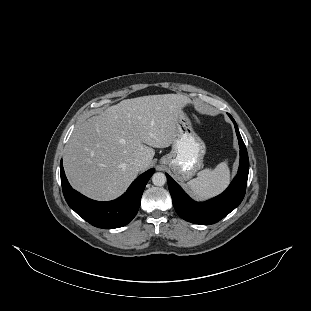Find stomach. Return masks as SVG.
Here are the masks:
<instances>
[{
	"instance_id": "1",
	"label": "stomach",
	"mask_w": 311,
	"mask_h": 311,
	"mask_svg": "<svg viewBox=\"0 0 311 311\" xmlns=\"http://www.w3.org/2000/svg\"><path fill=\"white\" fill-rule=\"evenodd\" d=\"M204 154L203 140L183 114L179 120V137L172 144V150L159 159V164L170 168L180 180H189L201 168Z\"/></svg>"
}]
</instances>
